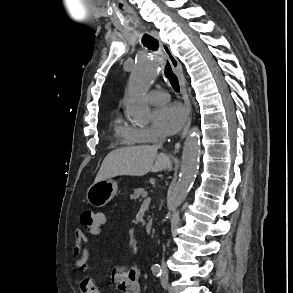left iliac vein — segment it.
<instances>
[{
    "label": "left iliac vein",
    "mask_w": 293,
    "mask_h": 293,
    "mask_svg": "<svg viewBox=\"0 0 293 293\" xmlns=\"http://www.w3.org/2000/svg\"><path fill=\"white\" fill-rule=\"evenodd\" d=\"M161 284H162V286H163L164 288L167 287V280H166V277H165V276H163V277L161 278Z\"/></svg>",
    "instance_id": "obj_1"
}]
</instances>
